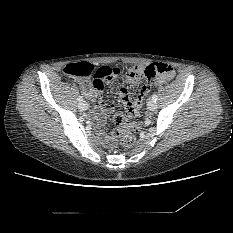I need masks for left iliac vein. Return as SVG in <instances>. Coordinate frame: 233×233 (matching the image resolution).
Instances as JSON below:
<instances>
[{
	"label": "left iliac vein",
	"mask_w": 233,
	"mask_h": 233,
	"mask_svg": "<svg viewBox=\"0 0 233 233\" xmlns=\"http://www.w3.org/2000/svg\"><path fill=\"white\" fill-rule=\"evenodd\" d=\"M156 102H154V101H150L149 103H148V109L150 110V111H154L155 109H156Z\"/></svg>",
	"instance_id": "obj_1"
}]
</instances>
